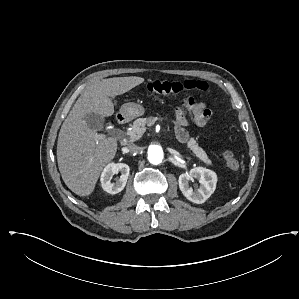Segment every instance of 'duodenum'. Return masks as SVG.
I'll return each instance as SVG.
<instances>
[{
	"mask_svg": "<svg viewBox=\"0 0 299 299\" xmlns=\"http://www.w3.org/2000/svg\"><path fill=\"white\" fill-rule=\"evenodd\" d=\"M117 121L120 125H123L126 122V117L121 114H117Z\"/></svg>",
	"mask_w": 299,
	"mask_h": 299,
	"instance_id": "obj_1",
	"label": "duodenum"
}]
</instances>
